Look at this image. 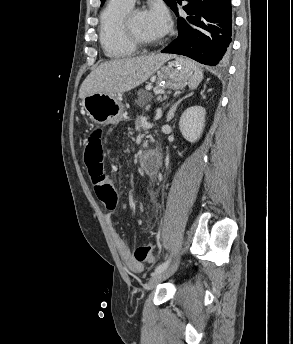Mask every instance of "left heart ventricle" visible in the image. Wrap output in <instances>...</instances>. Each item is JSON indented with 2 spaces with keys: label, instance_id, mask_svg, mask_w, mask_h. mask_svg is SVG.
I'll use <instances>...</instances> for the list:
<instances>
[{
  "label": "left heart ventricle",
  "instance_id": "1",
  "mask_svg": "<svg viewBox=\"0 0 293 344\" xmlns=\"http://www.w3.org/2000/svg\"><path fill=\"white\" fill-rule=\"evenodd\" d=\"M132 28L134 32L142 39L147 41H159L161 36H159L150 27L145 12L138 13L134 16L132 20Z\"/></svg>",
  "mask_w": 293,
  "mask_h": 344
}]
</instances>
